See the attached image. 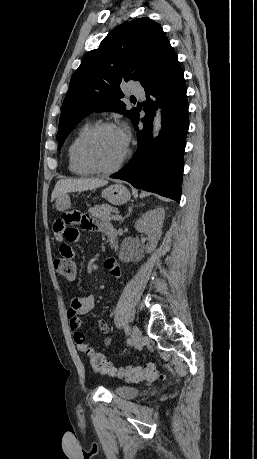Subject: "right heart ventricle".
Wrapping results in <instances>:
<instances>
[{
    "label": "right heart ventricle",
    "mask_w": 257,
    "mask_h": 459,
    "mask_svg": "<svg viewBox=\"0 0 257 459\" xmlns=\"http://www.w3.org/2000/svg\"><path fill=\"white\" fill-rule=\"evenodd\" d=\"M92 126H93L92 123H85L84 125H82L78 129V131L76 132V134L74 135V137L72 138L68 146V149H67L68 168L75 175L87 176L93 173L91 170L87 169L80 163L78 159V155H77V148H78V144L81 138Z\"/></svg>",
    "instance_id": "e07e8e85"
}]
</instances>
